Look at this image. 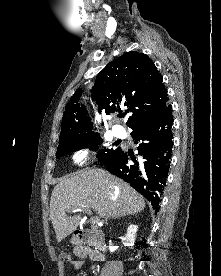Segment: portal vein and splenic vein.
<instances>
[{
	"instance_id": "obj_1",
	"label": "portal vein and splenic vein",
	"mask_w": 221,
	"mask_h": 276,
	"mask_svg": "<svg viewBox=\"0 0 221 276\" xmlns=\"http://www.w3.org/2000/svg\"><path fill=\"white\" fill-rule=\"evenodd\" d=\"M77 211H86L88 214H91L90 210H82V209H73L71 212H77ZM92 224H100V219L98 217H92L91 218Z\"/></svg>"
}]
</instances>
